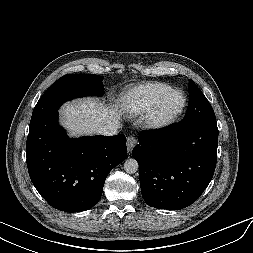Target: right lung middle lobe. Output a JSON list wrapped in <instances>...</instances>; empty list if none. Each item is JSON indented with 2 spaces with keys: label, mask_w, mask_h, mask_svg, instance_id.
Returning <instances> with one entry per match:
<instances>
[{
  "label": "right lung middle lobe",
  "mask_w": 253,
  "mask_h": 253,
  "mask_svg": "<svg viewBox=\"0 0 253 253\" xmlns=\"http://www.w3.org/2000/svg\"><path fill=\"white\" fill-rule=\"evenodd\" d=\"M99 75L67 74L53 83L37 102L30 123L57 111L62 103L82 96H100L104 88Z\"/></svg>",
  "instance_id": "obj_1"
}]
</instances>
